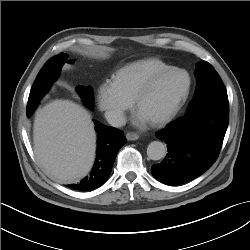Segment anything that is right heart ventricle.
Segmentation results:
<instances>
[{
  "instance_id": "1",
  "label": "right heart ventricle",
  "mask_w": 250,
  "mask_h": 250,
  "mask_svg": "<svg viewBox=\"0 0 250 250\" xmlns=\"http://www.w3.org/2000/svg\"><path fill=\"white\" fill-rule=\"evenodd\" d=\"M172 67L158 58H144L117 69L111 76L112 85L134 100L141 87L156 73Z\"/></svg>"
}]
</instances>
